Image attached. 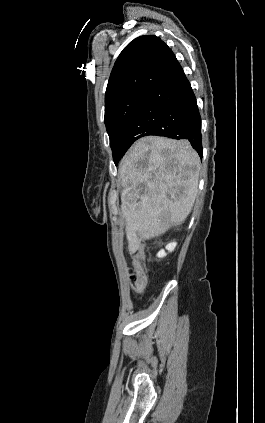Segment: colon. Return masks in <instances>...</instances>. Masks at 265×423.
Returning <instances> with one entry per match:
<instances>
[{
  "mask_svg": "<svg viewBox=\"0 0 265 423\" xmlns=\"http://www.w3.org/2000/svg\"><path fill=\"white\" fill-rule=\"evenodd\" d=\"M129 272L133 290L137 293H142L147 286L148 279L141 263L137 262L130 267Z\"/></svg>",
  "mask_w": 265,
  "mask_h": 423,
  "instance_id": "colon-1",
  "label": "colon"
}]
</instances>
